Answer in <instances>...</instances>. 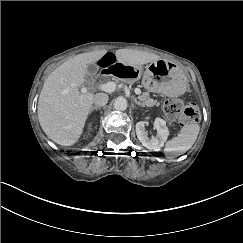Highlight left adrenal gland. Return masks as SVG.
Here are the masks:
<instances>
[{
  "label": "left adrenal gland",
  "instance_id": "a2214340",
  "mask_svg": "<svg viewBox=\"0 0 243 243\" xmlns=\"http://www.w3.org/2000/svg\"><path fill=\"white\" fill-rule=\"evenodd\" d=\"M134 103L140 107H145L144 104H142L140 101H138L137 99L134 100Z\"/></svg>",
  "mask_w": 243,
  "mask_h": 243
}]
</instances>
